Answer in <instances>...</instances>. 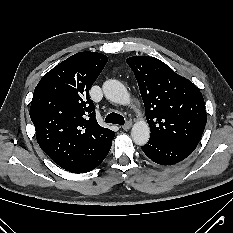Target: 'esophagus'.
Wrapping results in <instances>:
<instances>
[{
  "mask_svg": "<svg viewBox=\"0 0 233 233\" xmlns=\"http://www.w3.org/2000/svg\"><path fill=\"white\" fill-rule=\"evenodd\" d=\"M131 126H132V122L131 121H127L123 126H122V128L124 129V130H129L130 128H131Z\"/></svg>",
  "mask_w": 233,
  "mask_h": 233,
  "instance_id": "obj_1",
  "label": "esophagus"
}]
</instances>
